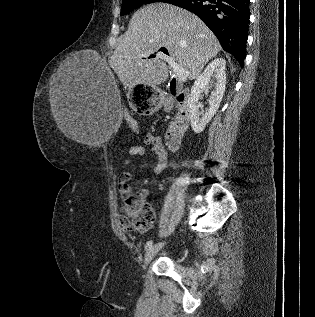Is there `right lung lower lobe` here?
Returning a JSON list of instances; mask_svg holds the SVG:
<instances>
[{"label":"right lung lower lobe","mask_w":315,"mask_h":317,"mask_svg":"<svg viewBox=\"0 0 315 317\" xmlns=\"http://www.w3.org/2000/svg\"><path fill=\"white\" fill-rule=\"evenodd\" d=\"M250 0H177L173 5L196 14L213 31L222 48L244 65Z\"/></svg>","instance_id":"1"}]
</instances>
